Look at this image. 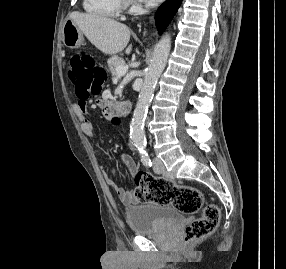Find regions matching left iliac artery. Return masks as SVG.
I'll return each mask as SVG.
<instances>
[{"label":"left iliac artery","instance_id":"obj_1","mask_svg":"<svg viewBox=\"0 0 286 269\" xmlns=\"http://www.w3.org/2000/svg\"><path fill=\"white\" fill-rule=\"evenodd\" d=\"M141 161L142 163L147 166V167H151L152 166V162H151V159L150 157L146 154V155H143L141 157Z\"/></svg>","mask_w":286,"mask_h":269}]
</instances>
